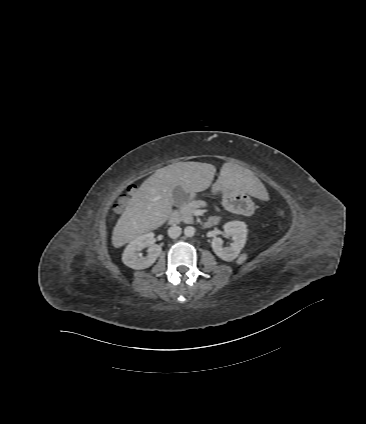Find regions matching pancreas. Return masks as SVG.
<instances>
[{
  "mask_svg": "<svg viewBox=\"0 0 366 424\" xmlns=\"http://www.w3.org/2000/svg\"><path fill=\"white\" fill-rule=\"evenodd\" d=\"M207 204L201 200L198 201H191L188 203H185L181 209H180V219L187 224H192L194 222L193 220V213L196 209L205 207ZM215 211L219 212L220 210L215 206Z\"/></svg>",
  "mask_w": 366,
  "mask_h": 424,
  "instance_id": "pancreas-1",
  "label": "pancreas"
}]
</instances>
